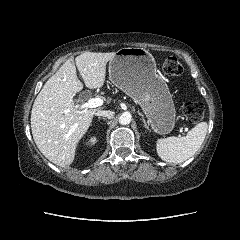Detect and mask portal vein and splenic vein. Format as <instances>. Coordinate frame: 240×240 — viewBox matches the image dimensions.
I'll return each mask as SVG.
<instances>
[{
  "mask_svg": "<svg viewBox=\"0 0 240 240\" xmlns=\"http://www.w3.org/2000/svg\"><path fill=\"white\" fill-rule=\"evenodd\" d=\"M102 104H103V100L101 98H90L88 100V102H86L80 106V109L85 110V109H89V108H96V107L101 106ZM183 132H188V128H186V127L180 128V133H183Z\"/></svg>",
  "mask_w": 240,
  "mask_h": 240,
  "instance_id": "18ae733b",
  "label": "portal vein and splenic vein"
}]
</instances>
